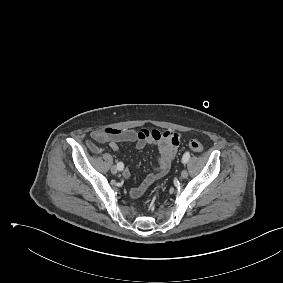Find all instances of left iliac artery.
I'll list each match as a JSON object with an SVG mask.
<instances>
[{
	"label": "left iliac artery",
	"instance_id": "obj_1",
	"mask_svg": "<svg viewBox=\"0 0 283 283\" xmlns=\"http://www.w3.org/2000/svg\"><path fill=\"white\" fill-rule=\"evenodd\" d=\"M190 155L189 153H185L182 157V163L186 164L189 161Z\"/></svg>",
	"mask_w": 283,
	"mask_h": 283
}]
</instances>
